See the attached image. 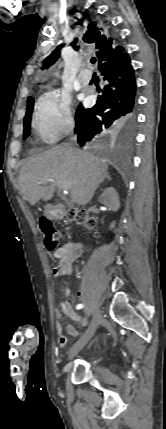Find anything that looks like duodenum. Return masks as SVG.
I'll use <instances>...</instances> for the list:
<instances>
[{
  "label": "duodenum",
  "mask_w": 166,
  "mask_h": 429,
  "mask_svg": "<svg viewBox=\"0 0 166 429\" xmlns=\"http://www.w3.org/2000/svg\"><path fill=\"white\" fill-rule=\"evenodd\" d=\"M55 211L57 216H62L65 213L64 206L59 204L55 206Z\"/></svg>",
  "instance_id": "1"
}]
</instances>
